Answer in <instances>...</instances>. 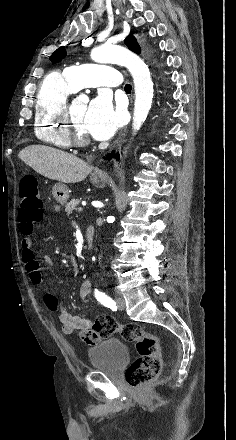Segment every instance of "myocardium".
Returning <instances> with one entry per match:
<instances>
[{
	"label": "myocardium",
	"instance_id": "myocardium-1",
	"mask_svg": "<svg viewBox=\"0 0 236 440\" xmlns=\"http://www.w3.org/2000/svg\"><path fill=\"white\" fill-rule=\"evenodd\" d=\"M62 118L65 124V131L70 140V143L77 146H86L90 143V139L88 138V136L82 134L76 127L72 114L71 103H66Z\"/></svg>",
	"mask_w": 236,
	"mask_h": 440
}]
</instances>
